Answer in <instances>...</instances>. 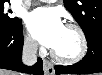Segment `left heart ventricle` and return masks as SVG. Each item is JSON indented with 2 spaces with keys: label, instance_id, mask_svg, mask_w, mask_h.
I'll list each match as a JSON object with an SVG mask.
<instances>
[{
  "label": "left heart ventricle",
  "instance_id": "b2bd125f",
  "mask_svg": "<svg viewBox=\"0 0 102 75\" xmlns=\"http://www.w3.org/2000/svg\"><path fill=\"white\" fill-rule=\"evenodd\" d=\"M52 49L63 57H73L80 50V39L74 30L64 26Z\"/></svg>",
  "mask_w": 102,
  "mask_h": 75
}]
</instances>
